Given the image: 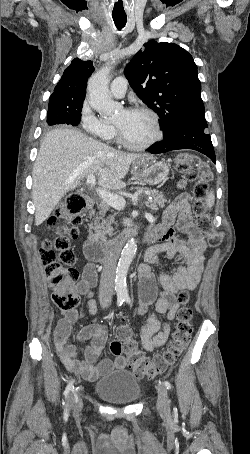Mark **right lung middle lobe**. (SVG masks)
<instances>
[{
  "label": "right lung middle lobe",
  "instance_id": "1",
  "mask_svg": "<svg viewBox=\"0 0 250 454\" xmlns=\"http://www.w3.org/2000/svg\"><path fill=\"white\" fill-rule=\"evenodd\" d=\"M84 98L69 100L65 98H50L47 123L48 125L67 124L77 126L81 120V110Z\"/></svg>",
  "mask_w": 250,
  "mask_h": 454
}]
</instances>
